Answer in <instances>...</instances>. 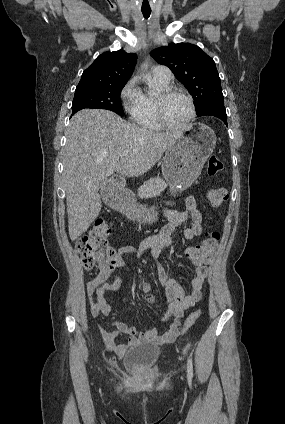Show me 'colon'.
I'll return each instance as SVG.
<instances>
[{"label":"colon","mask_w":285,"mask_h":424,"mask_svg":"<svg viewBox=\"0 0 285 424\" xmlns=\"http://www.w3.org/2000/svg\"><path fill=\"white\" fill-rule=\"evenodd\" d=\"M223 164L218 156L211 155L206 164L209 176H215L222 170ZM205 196L215 208H221L227 198V192L222 188H209ZM112 232L111 223L105 218H98L87 235L82 236L77 244V252L86 269L99 266L104 274H109L117 266L114 249L107 243ZM219 242V233L214 231L199 244L191 247L188 253L193 263H201L209 259ZM200 316V311L192 312L180 326L181 331L192 327Z\"/></svg>","instance_id":"5ec220e1"}]
</instances>
